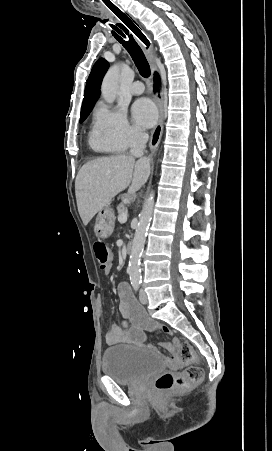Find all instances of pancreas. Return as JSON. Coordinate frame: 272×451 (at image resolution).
I'll return each mask as SVG.
<instances>
[{"mask_svg": "<svg viewBox=\"0 0 272 451\" xmlns=\"http://www.w3.org/2000/svg\"><path fill=\"white\" fill-rule=\"evenodd\" d=\"M121 200H130L128 194H123V196H121ZM117 210H118V214H122V212H126V208H125V204H123V202H121V204H119V206H117Z\"/></svg>", "mask_w": 272, "mask_h": 451, "instance_id": "pancreas-1", "label": "pancreas"}]
</instances>
